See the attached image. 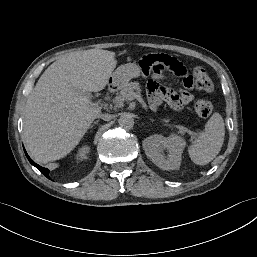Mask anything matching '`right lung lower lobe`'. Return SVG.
<instances>
[{
    "instance_id": "98d812e1",
    "label": "right lung lower lobe",
    "mask_w": 257,
    "mask_h": 257,
    "mask_svg": "<svg viewBox=\"0 0 257 257\" xmlns=\"http://www.w3.org/2000/svg\"><path fill=\"white\" fill-rule=\"evenodd\" d=\"M24 152H25V154H26L28 160L30 161V163H31L32 165H34L36 168H38L39 171H40L42 174H44L47 178L50 179V177H49V170L46 169V168H43V167L39 166V165L36 164L33 160H31V158H30V157L28 156V154L26 153L25 149H24Z\"/></svg>"
}]
</instances>
